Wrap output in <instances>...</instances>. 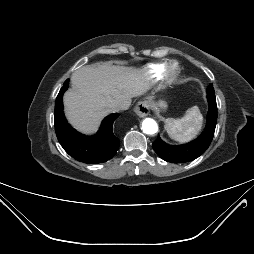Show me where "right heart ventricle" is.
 Here are the masks:
<instances>
[{
    "label": "right heart ventricle",
    "instance_id": "1",
    "mask_svg": "<svg viewBox=\"0 0 254 254\" xmlns=\"http://www.w3.org/2000/svg\"><path fill=\"white\" fill-rule=\"evenodd\" d=\"M166 67L167 63L165 62L150 64L146 68V73L151 79L159 80L164 76Z\"/></svg>",
    "mask_w": 254,
    "mask_h": 254
}]
</instances>
